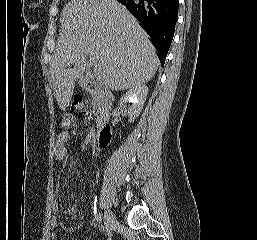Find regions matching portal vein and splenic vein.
Segmentation results:
<instances>
[{"mask_svg": "<svg viewBox=\"0 0 257 240\" xmlns=\"http://www.w3.org/2000/svg\"><path fill=\"white\" fill-rule=\"evenodd\" d=\"M90 65L93 66V72L95 74V77L99 80V71H100V66L96 59L94 57H89Z\"/></svg>", "mask_w": 257, "mask_h": 240, "instance_id": "18ae733b", "label": "portal vein and splenic vein"}]
</instances>
